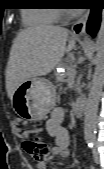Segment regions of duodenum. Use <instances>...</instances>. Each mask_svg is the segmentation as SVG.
<instances>
[{
    "label": "duodenum",
    "mask_w": 104,
    "mask_h": 169,
    "mask_svg": "<svg viewBox=\"0 0 104 169\" xmlns=\"http://www.w3.org/2000/svg\"><path fill=\"white\" fill-rule=\"evenodd\" d=\"M86 108V101L78 100L74 105V114L76 117L80 118L83 116Z\"/></svg>",
    "instance_id": "410a0bca"
}]
</instances>
